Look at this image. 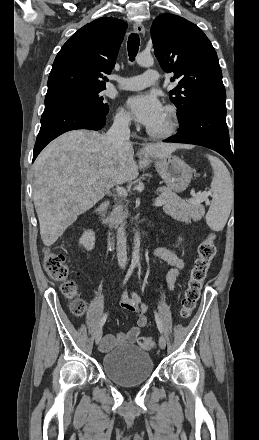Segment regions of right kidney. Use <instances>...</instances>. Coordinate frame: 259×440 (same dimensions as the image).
I'll return each instance as SVG.
<instances>
[{
  "instance_id": "1",
  "label": "right kidney",
  "mask_w": 259,
  "mask_h": 440,
  "mask_svg": "<svg viewBox=\"0 0 259 440\" xmlns=\"http://www.w3.org/2000/svg\"><path fill=\"white\" fill-rule=\"evenodd\" d=\"M79 243L87 251H91L95 246V233L92 230L85 231L79 239Z\"/></svg>"
}]
</instances>
